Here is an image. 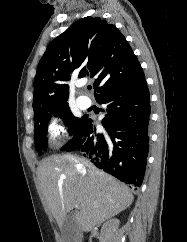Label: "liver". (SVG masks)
Returning a JSON list of instances; mask_svg holds the SVG:
<instances>
[{
    "label": "liver",
    "mask_w": 187,
    "mask_h": 242,
    "mask_svg": "<svg viewBox=\"0 0 187 242\" xmlns=\"http://www.w3.org/2000/svg\"><path fill=\"white\" fill-rule=\"evenodd\" d=\"M43 195L59 227L71 213L78 227L91 231L127 209L133 201L130 189L90 161L71 154L44 159L37 169Z\"/></svg>",
    "instance_id": "1"
}]
</instances>
